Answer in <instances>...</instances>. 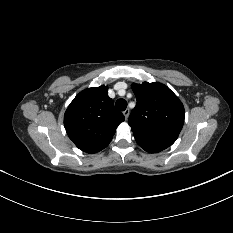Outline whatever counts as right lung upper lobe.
I'll return each mask as SVG.
<instances>
[{"mask_svg":"<svg viewBox=\"0 0 233 233\" xmlns=\"http://www.w3.org/2000/svg\"><path fill=\"white\" fill-rule=\"evenodd\" d=\"M107 86L80 92L68 106L64 126L69 138L86 153L108 146L124 115L114 107Z\"/></svg>","mask_w":233,"mask_h":233,"instance_id":"obj_1","label":"right lung upper lobe"}]
</instances>
